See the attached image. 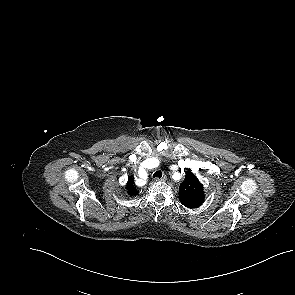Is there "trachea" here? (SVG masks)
Segmentation results:
<instances>
[{"label": "trachea", "mask_w": 295, "mask_h": 295, "mask_svg": "<svg viewBox=\"0 0 295 295\" xmlns=\"http://www.w3.org/2000/svg\"><path fill=\"white\" fill-rule=\"evenodd\" d=\"M161 178L162 177V172L161 171H156L154 174H153V178Z\"/></svg>", "instance_id": "trachea-1"}]
</instances>
